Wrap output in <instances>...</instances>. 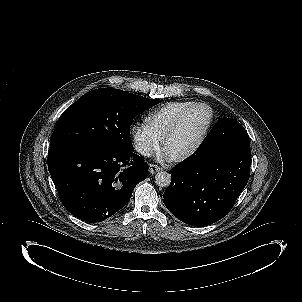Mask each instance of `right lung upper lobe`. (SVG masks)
Masks as SVG:
<instances>
[{
	"instance_id": "right-lung-upper-lobe-1",
	"label": "right lung upper lobe",
	"mask_w": 302,
	"mask_h": 302,
	"mask_svg": "<svg viewBox=\"0 0 302 302\" xmlns=\"http://www.w3.org/2000/svg\"><path fill=\"white\" fill-rule=\"evenodd\" d=\"M102 89H107V88H102ZM139 97H141V96H139ZM141 98L146 99V100L151 101V102H161L160 99H148V98H145V97H141Z\"/></svg>"
}]
</instances>
